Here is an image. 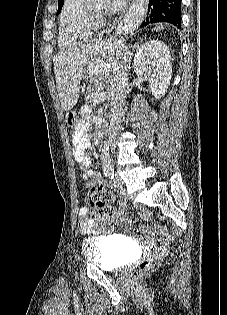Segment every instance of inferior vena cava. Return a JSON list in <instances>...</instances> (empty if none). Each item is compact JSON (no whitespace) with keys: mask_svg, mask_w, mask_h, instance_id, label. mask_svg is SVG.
I'll list each match as a JSON object with an SVG mask.
<instances>
[{"mask_svg":"<svg viewBox=\"0 0 227 315\" xmlns=\"http://www.w3.org/2000/svg\"><path fill=\"white\" fill-rule=\"evenodd\" d=\"M113 29V27H112ZM126 50V49H125ZM126 51L120 56L111 76V121L108 130L109 143L116 146L115 138L120 129L121 119L124 115L125 99L127 95L128 70ZM104 168H111V162L102 159Z\"/></svg>","mask_w":227,"mask_h":315,"instance_id":"1","label":"inferior vena cava"}]
</instances>
